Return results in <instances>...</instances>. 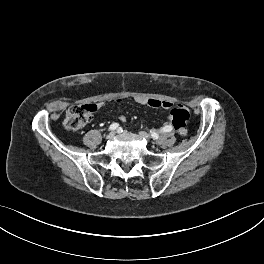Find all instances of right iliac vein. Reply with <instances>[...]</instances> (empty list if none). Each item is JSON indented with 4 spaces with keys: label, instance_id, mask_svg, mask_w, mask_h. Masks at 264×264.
I'll list each match as a JSON object with an SVG mask.
<instances>
[{
    "label": "right iliac vein",
    "instance_id": "obj_1",
    "mask_svg": "<svg viewBox=\"0 0 264 264\" xmlns=\"http://www.w3.org/2000/svg\"><path fill=\"white\" fill-rule=\"evenodd\" d=\"M114 135H115V132L112 131V132H110V133L107 135V138H108V139H111V138L114 137Z\"/></svg>",
    "mask_w": 264,
    "mask_h": 264
}]
</instances>
